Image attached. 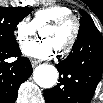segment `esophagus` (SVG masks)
<instances>
[{"instance_id": "obj_1", "label": "esophagus", "mask_w": 103, "mask_h": 103, "mask_svg": "<svg viewBox=\"0 0 103 103\" xmlns=\"http://www.w3.org/2000/svg\"><path fill=\"white\" fill-rule=\"evenodd\" d=\"M39 63H40L39 60L31 59V64H32L33 67L37 66Z\"/></svg>"}]
</instances>
